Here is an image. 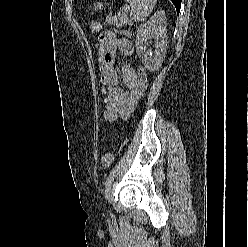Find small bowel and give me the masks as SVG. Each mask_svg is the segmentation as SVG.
<instances>
[{"instance_id": "small-bowel-1", "label": "small bowel", "mask_w": 248, "mask_h": 247, "mask_svg": "<svg viewBox=\"0 0 248 247\" xmlns=\"http://www.w3.org/2000/svg\"><path fill=\"white\" fill-rule=\"evenodd\" d=\"M96 46L99 55L100 82L105 100V118L115 120L118 116L126 118L135 108L141 95L136 94V72L128 64L121 67V76L128 90L119 86L118 71L116 69L117 52L131 55L133 45L128 38H119L111 31L103 32L97 39ZM111 156L105 155L103 164L109 165Z\"/></svg>"}]
</instances>
